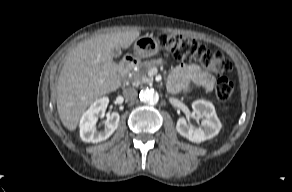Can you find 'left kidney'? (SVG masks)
Returning a JSON list of instances; mask_svg holds the SVG:
<instances>
[{
	"instance_id": "5707ae66",
	"label": "left kidney",
	"mask_w": 292,
	"mask_h": 192,
	"mask_svg": "<svg viewBox=\"0 0 292 192\" xmlns=\"http://www.w3.org/2000/svg\"><path fill=\"white\" fill-rule=\"evenodd\" d=\"M192 109L196 115L204 117L201 123L202 127L195 129L187 124L184 117H181L176 124L177 132L194 143H201L215 137L222 124L217 117L214 105L206 100H196L192 103Z\"/></svg>"
}]
</instances>
